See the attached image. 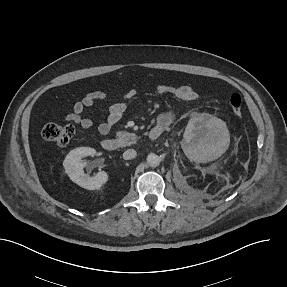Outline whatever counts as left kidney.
Masks as SVG:
<instances>
[{"mask_svg":"<svg viewBox=\"0 0 287 287\" xmlns=\"http://www.w3.org/2000/svg\"><path fill=\"white\" fill-rule=\"evenodd\" d=\"M219 131V132H218ZM214 131L210 130V134ZM216 139L213 140L209 135H204L198 131L197 120L192 118L189 120L184 132V141L197 146L198 149L207 148L209 151L210 160L218 157L226 149L225 145V129H215ZM218 132V133H217Z\"/></svg>","mask_w":287,"mask_h":287,"instance_id":"left-kidney-1","label":"left kidney"}]
</instances>
